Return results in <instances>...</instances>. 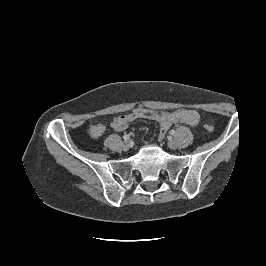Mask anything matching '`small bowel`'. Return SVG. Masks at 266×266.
Returning <instances> with one entry per match:
<instances>
[{
	"instance_id": "1",
	"label": "small bowel",
	"mask_w": 266,
	"mask_h": 266,
	"mask_svg": "<svg viewBox=\"0 0 266 266\" xmlns=\"http://www.w3.org/2000/svg\"><path fill=\"white\" fill-rule=\"evenodd\" d=\"M138 119H150L156 121L160 125L159 139L162 140L172 125L182 123L189 126H196L199 123L200 117L198 112L192 109H177L164 115L151 117H137L130 112L128 114L115 117L111 123V127L115 131H123L128 127L129 123ZM104 132L105 126L102 123L94 124L90 128V135L93 138L101 137Z\"/></svg>"
}]
</instances>
